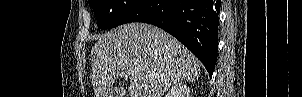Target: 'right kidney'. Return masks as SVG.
Instances as JSON below:
<instances>
[{"mask_svg": "<svg viewBox=\"0 0 302 97\" xmlns=\"http://www.w3.org/2000/svg\"><path fill=\"white\" fill-rule=\"evenodd\" d=\"M167 97H190V89L186 84L178 83L171 89Z\"/></svg>", "mask_w": 302, "mask_h": 97, "instance_id": "right-kidney-1", "label": "right kidney"}]
</instances>
